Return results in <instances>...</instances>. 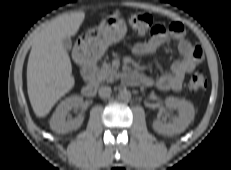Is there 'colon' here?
Listing matches in <instances>:
<instances>
[{"label":"colon","mask_w":231,"mask_h":170,"mask_svg":"<svg viewBox=\"0 0 231 170\" xmlns=\"http://www.w3.org/2000/svg\"><path fill=\"white\" fill-rule=\"evenodd\" d=\"M131 28L138 34L150 33L152 36H159L165 33L166 28L161 24L154 23L152 17L145 13H134L129 17ZM207 87V80L200 69L191 74L188 82V89L191 92L204 90Z\"/></svg>","instance_id":"obj_1"}]
</instances>
